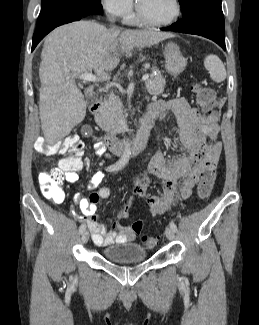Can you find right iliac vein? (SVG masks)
<instances>
[{
  "instance_id": "obj_1",
  "label": "right iliac vein",
  "mask_w": 259,
  "mask_h": 325,
  "mask_svg": "<svg viewBox=\"0 0 259 325\" xmlns=\"http://www.w3.org/2000/svg\"><path fill=\"white\" fill-rule=\"evenodd\" d=\"M89 240V232L88 231H84L82 233V243L86 244Z\"/></svg>"
}]
</instances>
